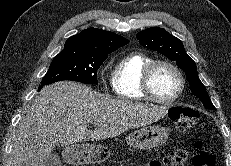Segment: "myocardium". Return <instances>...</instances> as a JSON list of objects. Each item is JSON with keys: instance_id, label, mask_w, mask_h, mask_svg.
<instances>
[{"instance_id": "obj_1", "label": "myocardium", "mask_w": 231, "mask_h": 166, "mask_svg": "<svg viewBox=\"0 0 231 166\" xmlns=\"http://www.w3.org/2000/svg\"><path fill=\"white\" fill-rule=\"evenodd\" d=\"M160 65H165L171 68L177 75L178 81H179V87H178L177 92L168 99H162V98L157 97L155 93L153 92L152 86H151L152 74L155 68ZM141 88H142L144 95L149 100L155 103H158V104H162V105H170L174 103L176 100H178L180 96L182 95L185 89V77L181 69L173 62L169 60H164V59L153 60L144 68V71L142 73V79H141Z\"/></svg>"}]
</instances>
